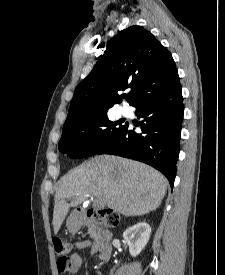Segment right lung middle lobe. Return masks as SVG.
<instances>
[{
  "instance_id": "dd1d6c3e",
  "label": "right lung middle lobe",
  "mask_w": 225,
  "mask_h": 275,
  "mask_svg": "<svg viewBox=\"0 0 225 275\" xmlns=\"http://www.w3.org/2000/svg\"><path fill=\"white\" fill-rule=\"evenodd\" d=\"M125 126L119 121H110L107 112L82 119L63 127L59 150L71 158L94 155L118 136Z\"/></svg>"
}]
</instances>
